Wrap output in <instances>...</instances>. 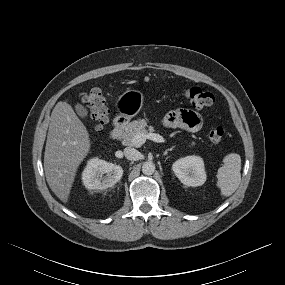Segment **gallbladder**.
<instances>
[{
	"label": "gallbladder",
	"instance_id": "obj_1",
	"mask_svg": "<svg viewBox=\"0 0 285 285\" xmlns=\"http://www.w3.org/2000/svg\"><path fill=\"white\" fill-rule=\"evenodd\" d=\"M75 110L77 112V114L81 117V118H86L88 115V111L87 109L80 103H77L75 105Z\"/></svg>",
	"mask_w": 285,
	"mask_h": 285
}]
</instances>
